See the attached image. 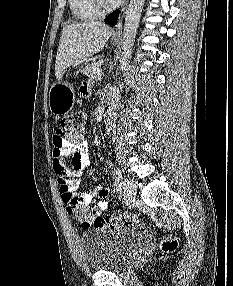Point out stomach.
<instances>
[{
    "label": "stomach",
    "mask_w": 233,
    "mask_h": 286,
    "mask_svg": "<svg viewBox=\"0 0 233 286\" xmlns=\"http://www.w3.org/2000/svg\"><path fill=\"white\" fill-rule=\"evenodd\" d=\"M74 103L73 85L61 74L49 92V108L56 115L61 116L70 111Z\"/></svg>",
    "instance_id": "0dacf381"
}]
</instances>
